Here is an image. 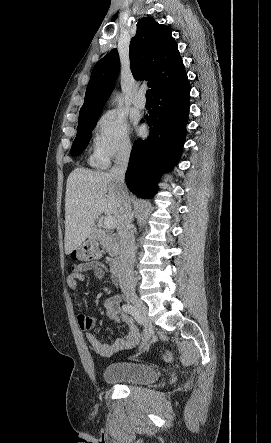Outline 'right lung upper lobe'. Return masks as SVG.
I'll list each match as a JSON object with an SVG mask.
<instances>
[{
    "mask_svg": "<svg viewBox=\"0 0 271 443\" xmlns=\"http://www.w3.org/2000/svg\"><path fill=\"white\" fill-rule=\"evenodd\" d=\"M171 33L170 27L146 17L138 22L136 35L130 42L132 74L137 80H148L153 95L187 78ZM119 63L118 52L113 49L94 66L79 119L100 115L115 84Z\"/></svg>",
    "mask_w": 271,
    "mask_h": 443,
    "instance_id": "cb5924a9",
    "label": "right lung upper lobe"
}]
</instances>
